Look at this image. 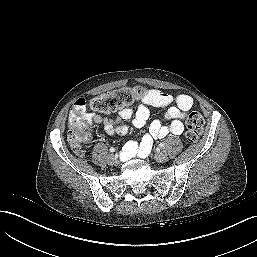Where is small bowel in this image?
<instances>
[{"label": "small bowel", "mask_w": 257, "mask_h": 257, "mask_svg": "<svg viewBox=\"0 0 257 257\" xmlns=\"http://www.w3.org/2000/svg\"><path fill=\"white\" fill-rule=\"evenodd\" d=\"M193 100L186 94L176 96L166 94L157 89L146 91L136 111L131 108L121 110L114 118L87 113L89 122L102 124L105 131L110 135L123 136L128 132V127L123 121L132 119L136 128H142L149 118L150 107H166L162 120H154L149 125L148 133L143 137L140 144L134 141L128 142L122 153V158L127 159L136 153L141 157L147 154L152 146L153 139H161L168 135H180L184 130L183 121L192 108Z\"/></svg>", "instance_id": "obj_1"}]
</instances>
